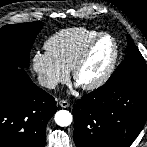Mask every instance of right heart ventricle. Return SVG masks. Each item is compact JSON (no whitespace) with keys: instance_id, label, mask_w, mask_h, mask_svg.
Returning <instances> with one entry per match:
<instances>
[{"instance_id":"e07e8e85","label":"right heart ventricle","mask_w":147,"mask_h":147,"mask_svg":"<svg viewBox=\"0 0 147 147\" xmlns=\"http://www.w3.org/2000/svg\"><path fill=\"white\" fill-rule=\"evenodd\" d=\"M98 33L87 27L63 29L49 37L44 47L57 62L71 70L85 45Z\"/></svg>"}]
</instances>
